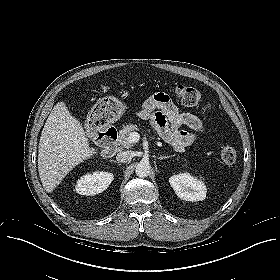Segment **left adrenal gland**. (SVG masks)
Wrapping results in <instances>:
<instances>
[{
	"label": "left adrenal gland",
	"instance_id": "left-adrenal-gland-1",
	"mask_svg": "<svg viewBox=\"0 0 280 280\" xmlns=\"http://www.w3.org/2000/svg\"><path fill=\"white\" fill-rule=\"evenodd\" d=\"M173 155H171V156H160V157H158V159L159 160H163V159H167V158H170V157H172Z\"/></svg>",
	"mask_w": 280,
	"mask_h": 280
}]
</instances>
